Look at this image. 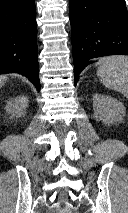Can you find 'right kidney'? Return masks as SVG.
Returning <instances> with one entry per match:
<instances>
[{
	"instance_id": "right-kidney-1",
	"label": "right kidney",
	"mask_w": 128,
	"mask_h": 213,
	"mask_svg": "<svg viewBox=\"0 0 128 213\" xmlns=\"http://www.w3.org/2000/svg\"><path fill=\"white\" fill-rule=\"evenodd\" d=\"M28 107V99L25 96H19L13 101L8 102L5 109L8 114L12 117H21L25 114L26 108Z\"/></svg>"
}]
</instances>
